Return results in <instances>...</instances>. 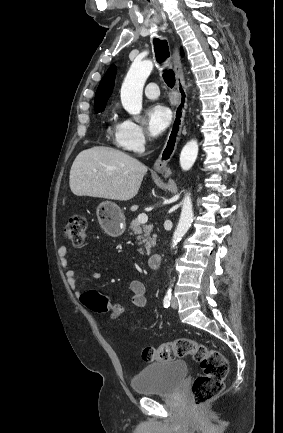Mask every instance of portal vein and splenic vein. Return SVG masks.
Listing matches in <instances>:
<instances>
[{
    "label": "portal vein and splenic vein",
    "mask_w": 283,
    "mask_h": 433,
    "mask_svg": "<svg viewBox=\"0 0 283 433\" xmlns=\"http://www.w3.org/2000/svg\"><path fill=\"white\" fill-rule=\"evenodd\" d=\"M94 172H97V170H94ZM137 221L138 223H147V214H145V212H141V214H138Z\"/></svg>",
    "instance_id": "obj_1"
}]
</instances>
